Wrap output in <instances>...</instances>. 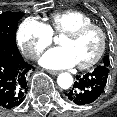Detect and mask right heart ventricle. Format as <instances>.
I'll return each instance as SVG.
<instances>
[{
	"mask_svg": "<svg viewBox=\"0 0 117 117\" xmlns=\"http://www.w3.org/2000/svg\"><path fill=\"white\" fill-rule=\"evenodd\" d=\"M48 25L52 34H64L82 25L92 24V19L77 10H67L51 14Z\"/></svg>",
	"mask_w": 117,
	"mask_h": 117,
	"instance_id": "right-heart-ventricle-1",
	"label": "right heart ventricle"
}]
</instances>
